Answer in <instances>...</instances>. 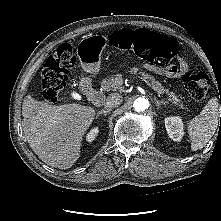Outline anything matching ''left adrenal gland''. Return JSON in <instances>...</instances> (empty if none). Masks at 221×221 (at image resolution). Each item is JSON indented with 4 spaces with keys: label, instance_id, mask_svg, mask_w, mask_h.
Here are the masks:
<instances>
[{
    "label": "left adrenal gland",
    "instance_id": "left-adrenal-gland-1",
    "mask_svg": "<svg viewBox=\"0 0 221 221\" xmlns=\"http://www.w3.org/2000/svg\"><path fill=\"white\" fill-rule=\"evenodd\" d=\"M154 101L156 103L157 109H159L161 107V105H165V102L159 101L156 98H154Z\"/></svg>",
    "mask_w": 221,
    "mask_h": 221
}]
</instances>
